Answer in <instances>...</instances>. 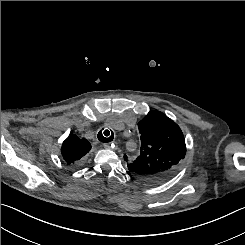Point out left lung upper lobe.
<instances>
[{
	"label": "left lung upper lobe",
	"mask_w": 245,
	"mask_h": 245,
	"mask_svg": "<svg viewBox=\"0 0 245 245\" xmlns=\"http://www.w3.org/2000/svg\"><path fill=\"white\" fill-rule=\"evenodd\" d=\"M140 156L128 164L135 177L146 183H159L169 178L186 154L180 127L159 111H150L139 123ZM127 161V156H124Z\"/></svg>",
	"instance_id": "1"
}]
</instances>
